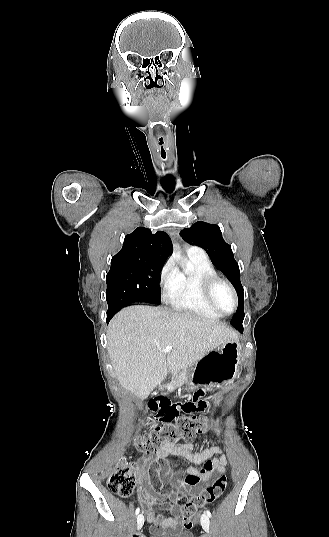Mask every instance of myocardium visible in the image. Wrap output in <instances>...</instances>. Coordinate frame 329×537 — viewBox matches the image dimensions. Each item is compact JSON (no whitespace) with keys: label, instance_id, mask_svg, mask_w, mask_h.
<instances>
[{"label":"myocardium","instance_id":"myocardium-1","mask_svg":"<svg viewBox=\"0 0 329 537\" xmlns=\"http://www.w3.org/2000/svg\"><path fill=\"white\" fill-rule=\"evenodd\" d=\"M219 285H223L225 286L226 288L229 289V291L232 293L233 295V298H234V308L231 312H224L222 311L215 303L214 301V291L215 289L219 286ZM202 291H203V295H204V298L207 302V304L213 309L215 310L217 313H219L220 315H223V316H228V315H231L233 313L236 312L237 308H238V304H239V299H238V295H237V292L235 290V288L232 286V284L215 275V276H207L205 278H203L202 280Z\"/></svg>","mask_w":329,"mask_h":537}]
</instances>
